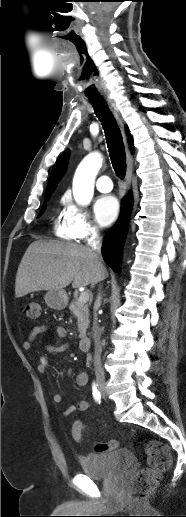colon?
<instances>
[{
  "label": "colon",
  "mask_w": 186,
  "mask_h": 517,
  "mask_svg": "<svg viewBox=\"0 0 186 517\" xmlns=\"http://www.w3.org/2000/svg\"><path fill=\"white\" fill-rule=\"evenodd\" d=\"M25 317L37 320L41 316V306L38 302H30L24 308ZM78 424L73 428V437L76 441L82 440L81 429ZM118 442L114 439L97 444L96 451L103 452L114 449ZM145 451L148 455V467L141 469L128 487V497L132 500L144 499L158 484L160 475L171 466L170 450L161 441L147 440Z\"/></svg>",
  "instance_id": "5ec220e1"
}]
</instances>
